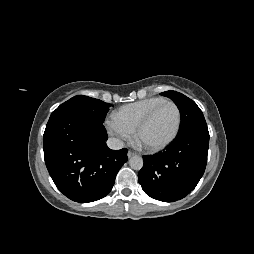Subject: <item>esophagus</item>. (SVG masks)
<instances>
[{"label": "esophagus", "instance_id": "obj_1", "mask_svg": "<svg viewBox=\"0 0 254 254\" xmlns=\"http://www.w3.org/2000/svg\"><path fill=\"white\" fill-rule=\"evenodd\" d=\"M135 155H136V152H133L131 150H129L128 153H127L128 158H131V157H133Z\"/></svg>", "mask_w": 254, "mask_h": 254}]
</instances>
